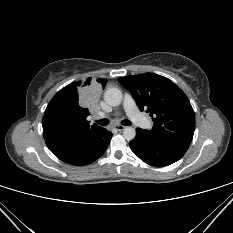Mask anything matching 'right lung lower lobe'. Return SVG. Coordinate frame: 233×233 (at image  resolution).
Returning <instances> with one entry per match:
<instances>
[{
    "mask_svg": "<svg viewBox=\"0 0 233 233\" xmlns=\"http://www.w3.org/2000/svg\"><path fill=\"white\" fill-rule=\"evenodd\" d=\"M111 138H112V133L106 130L104 138L101 140V142H99L98 145L95 146L88 153L79 157H58V158L63 162L76 166L90 164L104 154L106 148L110 143Z\"/></svg>",
    "mask_w": 233,
    "mask_h": 233,
    "instance_id": "98d812e1",
    "label": "right lung lower lobe"
}]
</instances>
